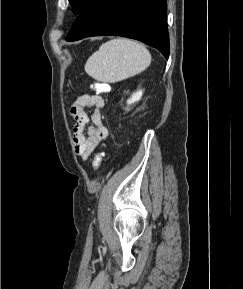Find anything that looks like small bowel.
<instances>
[{
  "instance_id": "1",
  "label": "small bowel",
  "mask_w": 243,
  "mask_h": 289,
  "mask_svg": "<svg viewBox=\"0 0 243 289\" xmlns=\"http://www.w3.org/2000/svg\"><path fill=\"white\" fill-rule=\"evenodd\" d=\"M104 104V99L99 94H83L71 105L74 148L83 160H86L108 136V129L102 120ZM89 123L91 124L87 127Z\"/></svg>"
}]
</instances>
